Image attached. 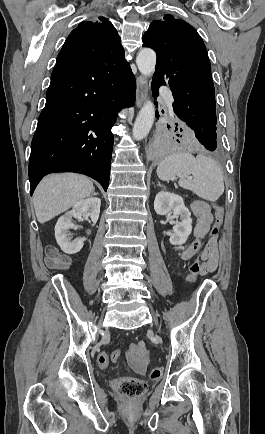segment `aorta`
<instances>
[{"label":"aorta","instance_id":"aorta-1","mask_svg":"<svg viewBox=\"0 0 265 434\" xmlns=\"http://www.w3.org/2000/svg\"><path fill=\"white\" fill-rule=\"evenodd\" d=\"M136 64L139 72L147 78V76H152L155 72L156 66V54L154 50L150 48H142L140 50L137 58ZM155 118V108L152 102H145L143 104L133 126L132 136L134 140H143L149 134Z\"/></svg>","mask_w":265,"mask_h":434}]
</instances>
